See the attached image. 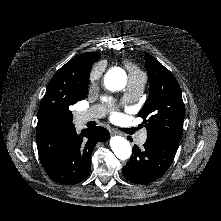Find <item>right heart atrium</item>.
<instances>
[{"label": "right heart atrium", "instance_id": "obj_1", "mask_svg": "<svg viewBox=\"0 0 221 221\" xmlns=\"http://www.w3.org/2000/svg\"><path fill=\"white\" fill-rule=\"evenodd\" d=\"M103 72H104V65L102 63L95 64L89 73L90 85H94L96 82H98L102 77Z\"/></svg>", "mask_w": 221, "mask_h": 221}]
</instances>
